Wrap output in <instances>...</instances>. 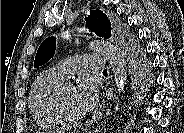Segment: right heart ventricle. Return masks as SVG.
I'll return each mask as SVG.
<instances>
[{"label":"right heart ventricle","instance_id":"e07e8e85","mask_svg":"<svg viewBox=\"0 0 184 133\" xmlns=\"http://www.w3.org/2000/svg\"><path fill=\"white\" fill-rule=\"evenodd\" d=\"M55 67L39 74L32 85L30 109L34 118L42 125L56 126L61 123L53 106L54 92L64 81Z\"/></svg>","mask_w":184,"mask_h":133}]
</instances>
